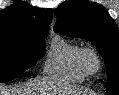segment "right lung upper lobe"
<instances>
[{"mask_svg": "<svg viewBox=\"0 0 119 95\" xmlns=\"http://www.w3.org/2000/svg\"><path fill=\"white\" fill-rule=\"evenodd\" d=\"M38 12L34 20H30L32 12ZM52 19L50 9L32 8L30 5L16 0L14 4L0 12V35H10L16 32H42L49 30Z\"/></svg>", "mask_w": 119, "mask_h": 95, "instance_id": "right-lung-upper-lobe-1", "label": "right lung upper lobe"}]
</instances>
